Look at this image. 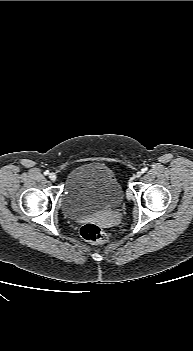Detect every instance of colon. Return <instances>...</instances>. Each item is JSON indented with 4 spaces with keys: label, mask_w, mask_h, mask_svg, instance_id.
Returning <instances> with one entry per match:
<instances>
[{
    "label": "colon",
    "mask_w": 193,
    "mask_h": 351,
    "mask_svg": "<svg viewBox=\"0 0 193 351\" xmlns=\"http://www.w3.org/2000/svg\"><path fill=\"white\" fill-rule=\"evenodd\" d=\"M80 234L85 240L91 243L101 244L106 241L103 229L94 222L85 223L80 229Z\"/></svg>",
    "instance_id": "5ec220e1"
}]
</instances>
